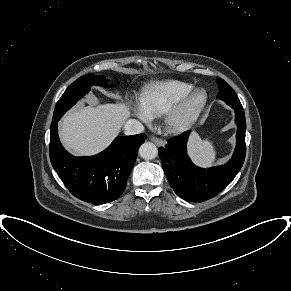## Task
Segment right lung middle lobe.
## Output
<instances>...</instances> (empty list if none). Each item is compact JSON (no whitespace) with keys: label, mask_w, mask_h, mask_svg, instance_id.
Segmentation results:
<instances>
[{"label":"right lung middle lobe","mask_w":291,"mask_h":291,"mask_svg":"<svg viewBox=\"0 0 291 291\" xmlns=\"http://www.w3.org/2000/svg\"><path fill=\"white\" fill-rule=\"evenodd\" d=\"M109 80L101 75L87 74L74 81L58 100L52 118L58 122L62 115L81 99L92 85L107 86Z\"/></svg>","instance_id":"1"}]
</instances>
